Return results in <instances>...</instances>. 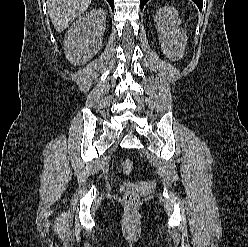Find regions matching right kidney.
I'll list each match as a JSON object with an SVG mask.
<instances>
[{"label":"right kidney","instance_id":"ca27d5eb","mask_svg":"<svg viewBox=\"0 0 248 247\" xmlns=\"http://www.w3.org/2000/svg\"><path fill=\"white\" fill-rule=\"evenodd\" d=\"M106 12L94 8L80 16L68 29L63 44L67 60L80 65L91 59L102 46Z\"/></svg>","mask_w":248,"mask_h":247}]
</instances>
